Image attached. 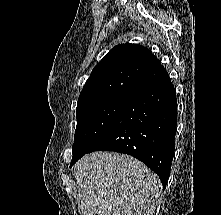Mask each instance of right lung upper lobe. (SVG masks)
Wrapping results in <instances>:
<instances>
[{
	"label": "right lung upper lobe",
	"mask_w": 221,
	"mask_h": 215,
	"mask_svg": "<svg viewBox=\"0 0 221 215\" xmlns=\"http://www.w3.org/2000/svg\"><path fill=\"white\" fill-rule=\"evenodd\" d=\"M168 75L144 46L119 44L94 67L78 104L105 97L133 98Z\"/></svg>",
	"instance_id": "obj_1"
}]
</instances>
